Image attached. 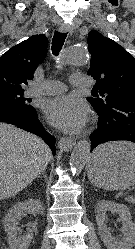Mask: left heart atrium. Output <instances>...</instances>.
<instances>
[{
    "label": "left heart atrium",
    "mask_w": 135,
    "mask_h": 249,
    "mask_svg": "<svg viewBox=\"0 0 135 249\" xmlns=\"http://www.w3.org/2000/svg\"><path fill=\"white\" fill-rule=\"evenodd\" d=\"M44 112L52 125L67 132L81 130L88 119L85 103L69 95L48 100Z\"/></svg>",
    "instance_id": "39dd6f15"
}]
</instances>
